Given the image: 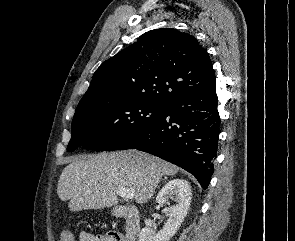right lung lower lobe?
I'll return each instance as SVG.
<instances>
[{"label":"right lung lower lobe","instance_id":"obj_1","mask_svg":"<svg viewBox=\"0 0 295 241\" xmlns=\"http://www.w3.org/2000/svg\"><path fill=\"white\" fill-rule=\"evenodd\" d=\"M215 82L168 101L160 114L116 150L138 149L192 173L206 189L214 171L219 136Z\"/></svg>","mask_w":295,"mask_h":241}]
</instances>
